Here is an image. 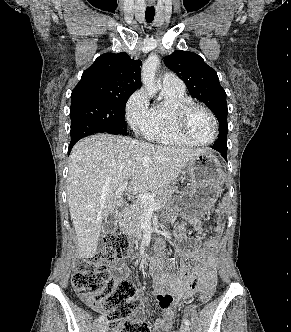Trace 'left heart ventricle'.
Returning <instances> with one entry per match:
<instances>
[{
  "label": "left heart ventricle",
  "instance_id": "b2bd125f",
  "mask_svg": "<svg viewBox=\"0 0 291 332\" xmlns=\"http://www.w3.org/2000/svg\"><path fill=\"white\" fill-rule=\"evenodd\" d=\"M190 134L199 141H209L214 136V125L210 116L201 109L194 110L188 120Z\"/></svg>",
  "mask_w": 291,
  "mask_h": 332
}]
</instances>
